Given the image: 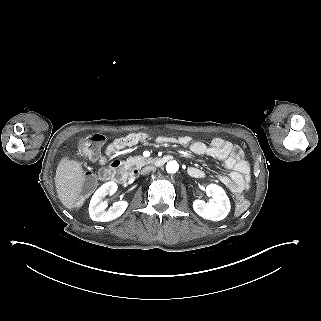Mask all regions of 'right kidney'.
Here are the masks:
<instances>
[{"label": "right kidney", "instance_id": "ca27d5eb", "mask_svg": "<svg viewBox=\"0 0 321 321\" xmlns=\"http://www.w3.org/2000/svg\"><path fill=\"white\" fill-rule=\"evenodd\" d=\"M116 190L117 184L115 182H107L96 190L89 205V214L93 221L109 222L120 217L126 211L129 205L127 200L114 202L110 209L106 210L107 204L103 202V199L109 194H114Z\"/></svg>", "mask_w": 321, "mask_h": 321}]
</instances>
